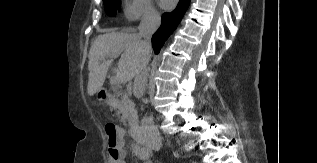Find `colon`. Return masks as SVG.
Masks as SVG:
<instances>
[{"mask_svg":"<svg viewBox=\"0 0 317 163\" xmlns=\"http://www.w3.org/2000/svg\"><path fill=\"white\" fill-rule=\"evenodd\" d=\"M106 134L108 137L109 154L114 161H117L122 156V152L118 148L120 143L119 132L114 125L109 124L106 126Z\"/></svg>","mask_w":317,"mask_h":163,"instance_id":"5ec220e1","label":"colon"}]
</instances>
